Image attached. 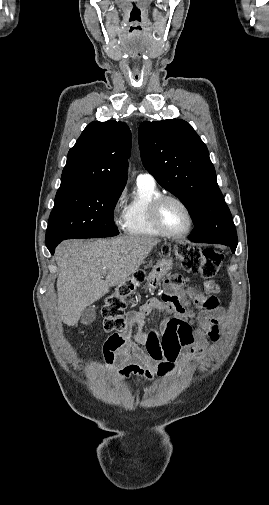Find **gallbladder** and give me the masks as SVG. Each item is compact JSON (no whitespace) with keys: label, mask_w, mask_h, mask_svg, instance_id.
Wrapping results in <instances>:
<instances>
[{"label":"gallbladder","mask_w":269,"mask_h":505,"mask_svg":"<svg viewBox=\"0 0 269 505\" xmlns=\"http://www.w3.org/2000/svg\"><path fill=\"white\" fill-rule=\"evenodd\" d=\"M96 318V310L94 307H88L81 314V322L85 325L91 324Z\"/></svg>","instance_id":"bac80fb5"}]
</instances>
